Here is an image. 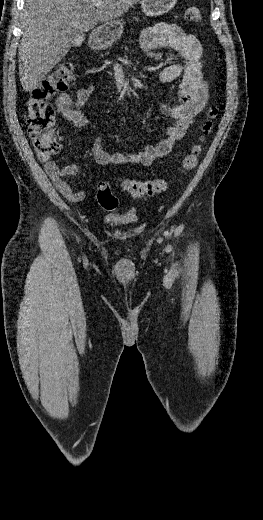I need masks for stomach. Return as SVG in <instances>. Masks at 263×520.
Here are the masks:
<instances>
[{
  "label": "stomach",
  "mask_w": 263,
  "mask_h": 520,
  "mask_svg": "<svg viewBox=\"0 0 263 520\" xmlns=\"http://www.w3.org/2000/svg\"><path fill=\"white\" fill-rule=\"evenodd\" d=\"M177 0H141L142 12L149 17L163 15L170 11ZM121 21H111L93 30L90 35V46L95 50L110 47L123 33Z\"/></svg>",
  "instance_id": "1"
}]
</instances>
